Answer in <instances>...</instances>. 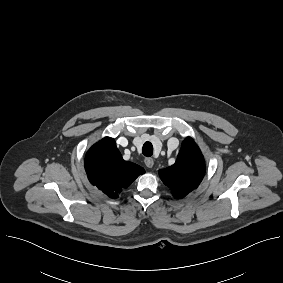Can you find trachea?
Masks as SVG:
<instances>
[{"instance_id":"trachea-1","label":"trachea","mask_w":283,"mask_h":283,"mask_svg":"<svg viewBox=\"0 0 283 283\" xmlns=\"http://www.w3.org/2000/svg\"><path fill=\"white\" fill-rule=\"evenodd\" d=\"M142 153L146 157H150L153 155V145L151 142H145L143 145Z\"/></svg>"}]
</instances>
